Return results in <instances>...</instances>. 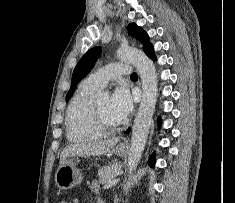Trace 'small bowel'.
I'll return each mask as SVG.
<instances>
[{"mask_svg": "<svg viewBox=\"0 0 235 203\" xmlns=\"http://www.w3.org/2000/svg\"><path fill=\"white\" fill-rule=\"evenodd\" d=\"M92 188L96 191L97 190V185L93 184Z\"/></svg>", "mask_w": 235, "mask_h": 203, "instance_id": "c3829d8e", "label": "small bowel"}]
</instances>
